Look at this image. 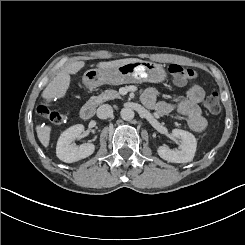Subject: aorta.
I'll return each instance as SVG.
<instances>
[{"label":"aorta","instance_id":"762f6f07","mask_svg":"<svg viewBox=\"0 0 245 245\" xmlns=\"http://www.w3.org/2000/svg\"><path fill=\"white\" fill-rule=\"evenodd\" d=\"M120 115L123 120L130 121L134 118V111L131 108H123L120 112Z\"/></svg>","mask_w":245,"mask_h":245}]
</instances>
